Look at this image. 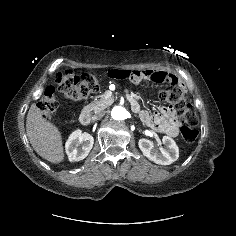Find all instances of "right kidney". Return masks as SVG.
Returning a JSON list of instances; mask_svg holds the SVG:
<instances>
[{"mask_svg":"<svg viewBox=\"0 0 236 236\" xmlns=\"http://www.w3.org/2000/svg\"><path fill=\"white\" fill-rule=\"evenodd\" d=\"M94 144L91 134L81 130L74 131L65 144L69 161H80L87 157Z\"/></svg>","mask_w":236,"mask_h":236,"instance_id":"right-kidney-1","label":"right kidney"}]
</instances>
